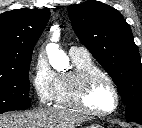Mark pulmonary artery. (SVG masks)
I'll return each mask as SVG.
<instances>
[{
  "instance_id": "obj_1",
  "label": "pulmonary artery",
  "mask_w": 142,
  "mask_h": 128,
  "mask_svg": "<svg viewBox=\"0 0 142 128\" xmlns=\"http://www.w3.org/2000/svg\"><path fill=\"white\" fill-rule=\"evenodd\" d=\"M69 54L72 57H90L89 51L84 47L72 46L69 49Z\"/></svg>"
}]
</instances>
